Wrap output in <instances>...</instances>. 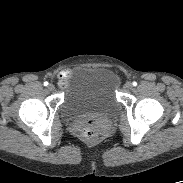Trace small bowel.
<instances>
[{
  "instance_id": "obj_1",
  "label": "small bowel",
  "mask_w": 183,
  "mask_h": 183,
  "mask_svg": "<svg viewBox=\"0 0 183 183\" xmlns=\"http://www.w3.org/2000/svg\"><path fill=\"white\" fill-rule=\"evenodd\" d=\"M60 77H61L62 81H66L68 79V77H69V72H67V71L62 72Z\"/></svg>"
}]
</instances>
